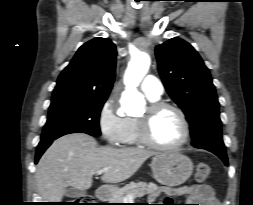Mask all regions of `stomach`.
<instances>
[{
  "mask_svg": "<svg viewBox=\"0 0 253 205\" xmlns=\"http://www.w3.org/2000/svg\"><path fill=\"white\" fill-rule=\"evenodd\" d=\"M154 178L168 187L183 184L193 172V163L180 152L157 153L151 162Z\"/></svg>",
  "mask_w": 253,
  "mask_h": 205,
  "instance_id": "obj_1",
  "label": "stomach"
}]
</instances>
